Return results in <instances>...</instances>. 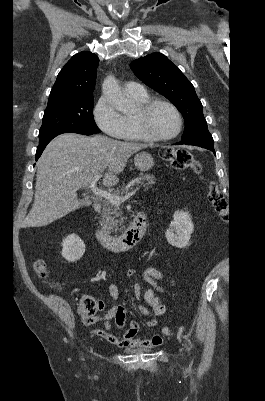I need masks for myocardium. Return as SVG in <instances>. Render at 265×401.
<instances>
[{
  "instance_id": "myocardium-1",
  "label": "myocardium",
  "mask_w": 265,
  "mask_h": 401,
  "mask_svg": "<svg viewBox=\"0 0 265 401\" xmlns=\"http://www.w3.org/2000/svg\"><path fill=\"white\" fill-rule=\"evenodd\" d=\"M158 105H163V106L168 107L175 114L177 121H178V128H177V131L173 135L166 136V137H153V136L149 135L148 132L146 131V128L144 125V119ZM135 123H136V127H137V130H138L141 138L147 142L170 141V140L178 137L181 134L182 129H183V117H182V114L180 113L179 109L172 103L165 101V100H160V99L149 100L147 103L139 105L138 110L135 114Z\"/></svg>"
}]
</instances>
